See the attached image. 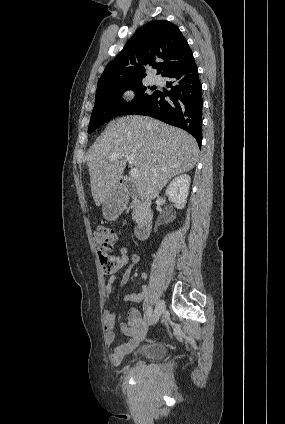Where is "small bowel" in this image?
Instances as JSON below:
<instances>
[{
	"mask_svg": "<svg viewBox=\"0 0 285 424\" xmlns=\"http://www.w3.org/2000/svg\"><path fill=\"white\" fill-rule=\"evenodd\" d=\"M140 258L136 253L129 255L128 249L122 247L120 249V256L118 258L119 267H125L127 269L122 275L121 285L124 287L131 276L133 267L139 262ZM146 275H141V280L146 281ZM116 282V275L110 274L108 280L104 286V294L109 297L112 295L113 286ZM148 289L145 285L137 291L128 293L124 300L128 303H144L143 314L136 308H131L127 314V319L120 324V330L122 334L128 338V341L115 346L109 353V361L112 364H118L122 358L130 353L141 341L145 332L150 325V318L148 315L149 308L151 307L147 303ZM117 320V315L111 310H106L103 315V329H104V341L107 344H111L114 340V328Z\"/></svg>",
	"mask_w": 285,
	"mask_h": 424,
	"instance_id": "c3829d8e",
	"label": "small bowel"
}]
</instances>
